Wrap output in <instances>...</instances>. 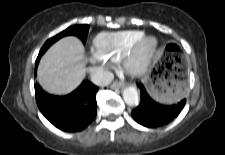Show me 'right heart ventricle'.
I'll return each instance as SVG.
<instances>
[{"label": "right heart ventricle", "instance_id": "right-heart-ventricle-1", "mask_svg": "<svg viewBox=\"0 0 225 155\" xmlns=\"http://www.w3.org/2000/svg\"><path fill=\"white\" fill-rule=\"evenodd\" d=\"M143 36L144 32L139 30L101 33L95 39V51L110 62H117L123 59Z\"/></svg>", "mask_w": 225, "mask_h": 155}]
</instances>
